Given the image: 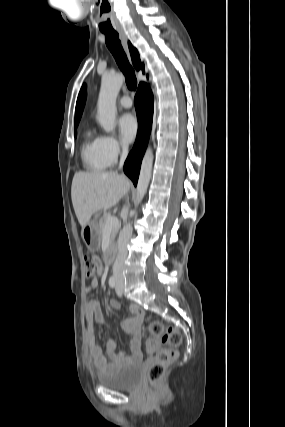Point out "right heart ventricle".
<instances>
[{
	"mask_svg": "<svg viewBox=\"0 0 285 427\" xmlns=\"http://www.w3.org/2000/svg\"><path fill=\"white\" fill-rule=\"evenodd\" d=\"M81 159L84 167L89 171H102L110 165L103 152L101 137L91 129H87L84 133Z\"/></svg>",
	"mask_w": 285,
	"mask_h": 427,
	"instance_id": "right-heart-ventricle-1",
	"label": "right heart ventricle"
}]
</instances>
